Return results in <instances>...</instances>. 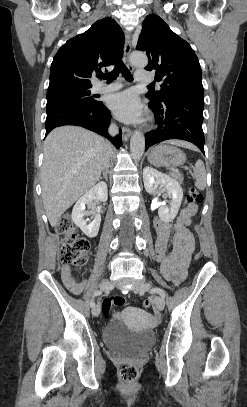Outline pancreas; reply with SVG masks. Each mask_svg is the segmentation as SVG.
<instances>
[{"label":"pancreas","instance_id":"pancreas-1","mask_svg":"<svg viewBox=\"0 0 247 407\" xmlns=\"http://www.w3.org/2000/svg\"><path fill=\"white\" fill-rule=\"evenodd\" d=\"M175 180H177L179 183L183 182V175L178 172V171H172L170 174Z\"/></svg>","mask_w":247,"mask_h":407}]
</instances>
